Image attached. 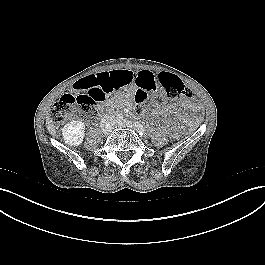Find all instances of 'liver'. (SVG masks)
Instances as JSON below:
<instances>
[{
    "label": "liver",
    "mask_w": 265,
    "mask_h": 265,
    "mask_svg": "<svg viewBox=\"0 0 265 265\" xmlns=\"http://www.w3.org/2000/svg\"><path fill=\"white\" fill-rule=\"evenodd\" d=\"M46 124H47V129L50 135L55 136L56 135V129L55 125L53 124V121L50 116L46 117Z\"/></svg>",
    "instance_id": "liver-1"
}]
</instances>
